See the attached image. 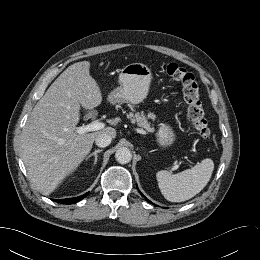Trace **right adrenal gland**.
<instances>
[{
  "label": "right adrenal gland",
  "mask_w": 260,
  "mask_h": 260,
  "mask_svg": "<svg viewBox=\"0 0 260 260\" xmlns=\"http://www.w3.org/2000/svg\"><path fill=\"white\" fill-rule=\"evenodd\" d=\"M103 150L102 149H97L95 150L93 153L89 154L87 157H86V160H88L90 157L94 156V164H96L97 162V158H98V153L102 152Z\"/></svg>",
  "instance_id": "1"
}]
</instances>
